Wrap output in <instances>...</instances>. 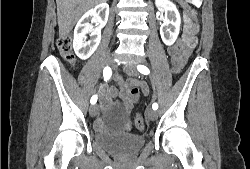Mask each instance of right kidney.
Returning <instances> with one entry per match:
<instances>
[{
	"instance_id": "ca27d5eb",
	"label": "right kidney",
	"mask_w": 250,
	"mask_h": 169,
	"mask_svg": "<svg viewBox=\"0 0 250 169\" xmlns=\"http://www.w3.org/2000/svg\"><path fill=\"white\" fill-rule=\"evenodd\" d=\"M109 16V4L107 2H100L96 4L95 8L87 10L80 20H78L73 38V48L82 60L89 58L93 52H95L100 40H101V28L105 26ZM91 22H96L95 28H93ZM87 32H90V40H86Z\"/></svg>"
}]
</instances>
